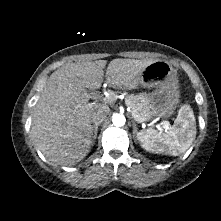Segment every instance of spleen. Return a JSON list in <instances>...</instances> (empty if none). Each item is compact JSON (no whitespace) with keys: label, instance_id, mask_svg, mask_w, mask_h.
Returning a JSON list of instances; mask_svg holds the SVG:
<instances>
[{"label":"spleen","instance_id":"obj_1","mask_svg":"<svg viewBox=\"0 0 221 221\" xmlns=\"http://www.w3.org/2000/svg\"><path fill=\"white\" fill-rule=\"evenodd\" d=\"M195 136V117L188 105L180 108L176 123L168 132L161 133L149 128L137 133V138L146 151L173 156L184 153L191 146Z\"/></svg>","mask_w":221,"mask_h":221}]
</instances>
